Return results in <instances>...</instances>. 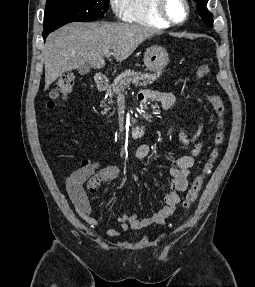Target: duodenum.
Instances as JSON below:
<instances>
[{
    "mask_svg": "<svg viewBox=\"0 0 255 287\" xmlns=\"http://www.w3.org/2000/svg\"><path fill=\"white\" fill-rule=\"evenodd\" d=\"M107 87H108V81L105 78H96L95 88L97 91L99 92L105 91ZM138 98L141 102H144L149 98V93L142 92L138 95ZM146 127L147 126L145 123H138L129 130V135L133 138L142 137L145 134Z\"/></svg>",
    "mask_w": 255,
    "mask_h": 287,
    "instance_id": "1",
    "label": "duodenum"
}]
</instances>
